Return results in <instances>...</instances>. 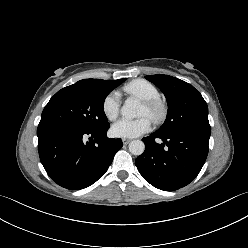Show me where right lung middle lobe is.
Segmentation results:
<instances>
[{
  "label": "right lung middle lobe",
  "instance_id": "dd1d6c3e",
  "mask_svg": "<svg viewBox=\"0 0 248 248\" xmlns=\"http://www.w3.org/2000/svg\"><path fill=\"white\" fill-rule=\"evenodd\" d=\"M126 80L109 81L100 85L76 82L58 91L45 106L39 124L64 123L86 131L110 126L104 113V100Z\"/></svg>",
  "mask_w": 248,
  "mask_h": 248
}]
</instances>
